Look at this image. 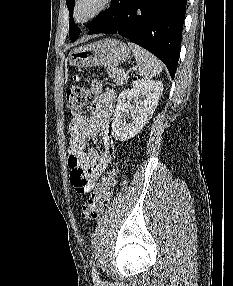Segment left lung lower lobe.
Wrapping results in <instances>:
<instances>
[{
	"instance_id": "left-lung-lower-lobe-1",
	"label": "left lung lower lobe",
	"mask_w": 233,
	"mask_h": 286,
	"mask_svg": "<svg viewBox=\"0 0 233 286\" xmlns=\"http://www.w3.org/2000/svg\"><path fill=\"white\" fill-rule=\"evenodd\" d=\"M187 0H111L91 23L89 35L118 33L147 49L175 76Z\"/></svg>"
}]
</instances>
